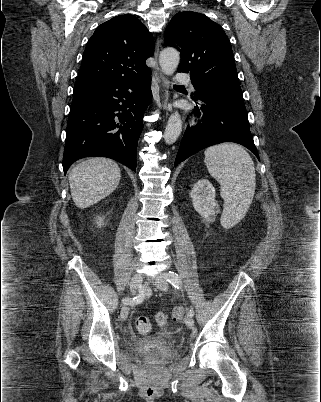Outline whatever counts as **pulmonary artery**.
Here are the masks:
<instances>
[{
	"mask_svg": "<svg viewBox=\"0 0 321 402\" xmlns=\"http://www.w3.org/2000/svg\"><path fill=\"white\" fill-rule=\"evenodd\" d=\"M176 82L178 84H187L191 82V77L188 74L178 73L176 75Z\"/></svg>",
	"mask_w": 321,
	"mask_h": 402,
	"instance_id": "1",
	"label": "pulmonary artery"
}]
</instances>
